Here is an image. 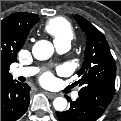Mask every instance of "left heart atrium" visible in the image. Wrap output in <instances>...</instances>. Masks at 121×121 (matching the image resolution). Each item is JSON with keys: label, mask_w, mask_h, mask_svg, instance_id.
<instances>
[{"label": "left heart atrium", "mask_w": 121, "mask_h": 121, "mask_svg": "<svg viewBox=\"0 0 121 121\" xmlns=\"http://www.w3.org/2000/svg\"><path fill=\"white\" fill-rule=\"evenodd\" d=\"M53 80H54V77H53L52 73H50V72L43 74L41 77V82L46 85L51 84L53 82Z\"/></svg>", "instance_id": "obj_1"}]
</instances>
